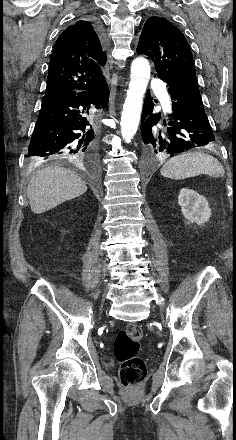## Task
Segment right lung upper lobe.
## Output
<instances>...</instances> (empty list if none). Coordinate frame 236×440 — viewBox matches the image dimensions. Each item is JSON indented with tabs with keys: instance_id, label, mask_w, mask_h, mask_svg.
Masks as SVG:
<instances>
[{
	"instance_id": "obj_1",
	"label": "right lung upper lobe",
	"mask_w": 236,
	"mask_h": 440,
	"mask_svg": "<svg viewBox=\"0 0 236 440\" xmlns=\"http://www.w3.org/2000/svg\"><path fill=\"white\" fill-rule=\"evenodd\" d=\"M107 60L105 44L97 28L77 21L58 37L49 63L45 94L82 91L102 82Z\"/></svg>"
}]
</instances>
